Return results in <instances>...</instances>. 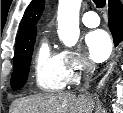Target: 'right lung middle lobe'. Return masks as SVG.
<instances>
[{
    "label": "right lung middle lobe",
    "mask_w": 123,
    "mask_h": 113,
    "mask_svg": "<svg viewBox=\"0 0 123 113\" xmlns=\"http://www.w3.org/2000/svg\"><path fill=\"white\" fill-rule=\"evenodd\" d=\"M35 39L36 36L18 45L15 49L14 71L11 77V87L13 90H19L27 81Z\"/></svg>",
    "instance_id": "obj_1"
}]
</instances>
